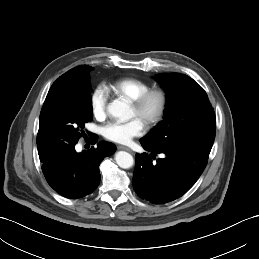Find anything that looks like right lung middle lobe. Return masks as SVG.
I'll list each match as a JSON object with an SVG mask.
<instances>
[{
    "mask_svg": "<svg viewBox=\"0 0 259 259\" xmlns=\"http://www.w3.org/2000/svg\"><path fill=\"white\" fill-rule=\"evenodd\" d=\"M85 78L91 93L89 73ZM92 117L91 95L80 101H64L42 111L37 135L39 156L47 159L72 150L80 137H87L84 127Z\"/></svg>",
    "mask_w": 259,
    "mask_h": 259,
    "instance_id": "dd1d6c3e",
    "label": "right lung middle lobe"
}]
</instances>
